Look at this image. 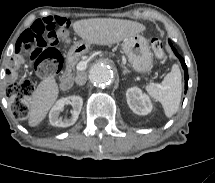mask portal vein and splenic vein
<instances>
[{
    "label": "portal vein and splenic vein",
    "mask_w": 215,
    "mask_h": 183,
    "mask_svg": "<svg viewBox=\"0 0 215 183\" xmlns=\"http://www.w3.org/2000/svg\"><path fill=\"white\" fill-rule=\"evenodd\" d=\"M87 67V63L85 61H80L77 66H76V69L77 71H83L85 70Z\"/></svg>",
    "instance_id": "18ae733b"
}]
</instances>
